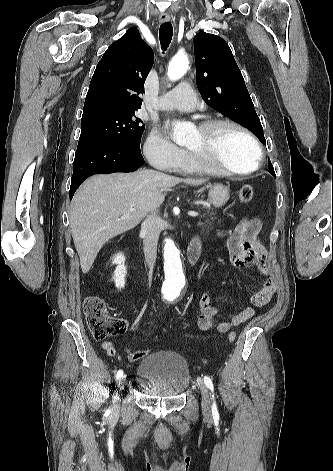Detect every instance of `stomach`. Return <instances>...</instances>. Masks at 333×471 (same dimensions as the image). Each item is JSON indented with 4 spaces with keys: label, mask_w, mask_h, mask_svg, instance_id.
<instances>
[{
    "label": "stomach",
    "mask_w": 333,
    "mask_h": 471,
    "mask_svg": "<svg viewBox=\"0 0 333 471\" xmlns=\"http://www.w3.org/2000/svg\"><path fill=\"white\" fill-rule=\"evenodd\" d=\"M230 198L229 188L222 184H215L209 187V202L216 208L224 206Z\"/></svg>",
    "instance_id": "obj_1"
}]
</instances>
